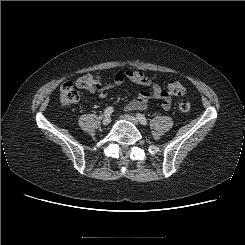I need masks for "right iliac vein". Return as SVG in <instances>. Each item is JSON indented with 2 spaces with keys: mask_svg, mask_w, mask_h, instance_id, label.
Segmentation results:
<instances>
[{
  "mask_svg": "<svg viewBox=\"0 0 245 245\" xmlns=\"http://www.w3.org/2000/svg\"><path fill=\"white\" fill-rule=\"evenodd\" d=\"M110 122H111V118L108 116H106L102 121L103 125L105 126L108 125Z\"/></svg>",
  "mask_w": 245,
  "mask_h": 245,
  "instance_id": "63e3f726",
  "label": "right iliac vein"
}]
</instances>
